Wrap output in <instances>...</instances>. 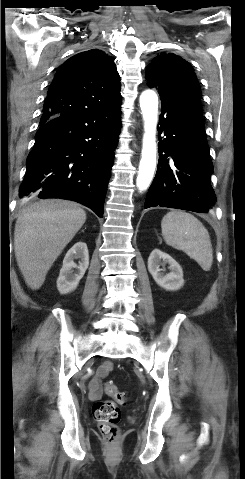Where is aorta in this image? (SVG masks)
I'll use <instances>...</instances> for the list:
<instances>
[{
    "label": "aorta",
    "mask_w": 245,
    "mask_h": 479,
    "mask_svg": "<svg viewBox=\"0 0 245 479\" xmlns=\"http://www.w3.org/2000/svg\"><path fill=\"white\" fill-rule=\"evenodd\" d=\"M140 108L144 120V135L136 185L140 191H144L149 187L156 167L155 135L158 120V97L154 91L146 90L141 94Z\"/></svg>",
    "instance_id": "762f6f07"
}]
</instances>
